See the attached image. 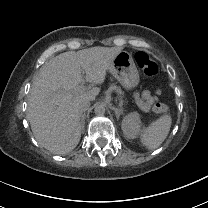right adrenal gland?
<instances>
[{
	"mask_svg": "<svg viewBox=\"0 0 208 208\" xmlns=\"http://www.w3.org/2000/svg\"><path fill=\"white\" fill-rule=\"evenodd\" d=\"M80 119H81V126H82V128H84L85 127V113L84 114H80Z\"/></svg>",
	"mask_w": 208,
	"mask_h": 208,
	"instance_id": "2a0ac1e0",
	"label": "right adrenal gland"
}]
</instances>
